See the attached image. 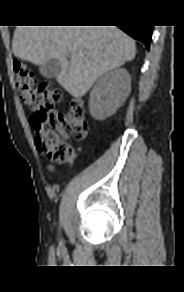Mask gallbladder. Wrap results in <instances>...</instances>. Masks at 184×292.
I'll return each mask as SVG.
<instances>
[{
	"label": "gallbladder",
	"instance_id": "obj_1",
	"mask_svg": "<svg viewBox=\"0 0 184 292\" xmlns=\"http://www.w3.org/2000/svg\"><path fill=\"white\" fill-rule=\"evenodd\" d=\"M39 71L43 77H56L61 71V64L57 60H50L39 66Z\"/></svg>",
	"mask_w": 184,
	"mask_h": 292
}]
</instances>
